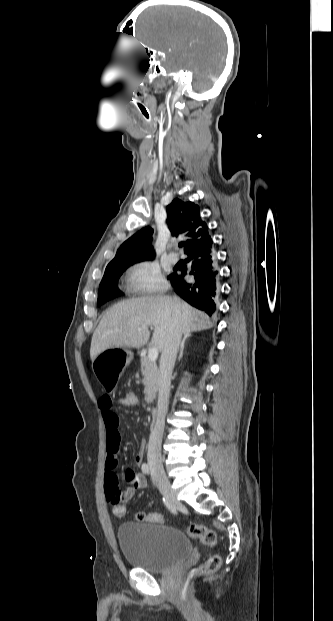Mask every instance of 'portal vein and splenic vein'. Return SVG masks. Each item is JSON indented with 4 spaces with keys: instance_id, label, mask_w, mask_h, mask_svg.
Listing matches in <instances>:
<instances>
[{
    "instance_id": "obj_1",
    "label": "portal vein and splenic vein",
    "mask_w": 333,
    "mask_h": 621,
    "mask_svg": "<svg viewBox=\"0 0 333 621\" xmlns=\"http://www.w3.org/2000/svg\"><path fill=\"white\" fill-rule=\"evenodd\" d=\"M138 331H141V328H138ZM157 357H158V350L155 347L150 348L148 352V358L152 362H155Z\"/></svg>"
}]
</instances>
